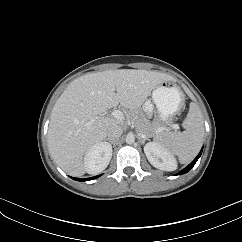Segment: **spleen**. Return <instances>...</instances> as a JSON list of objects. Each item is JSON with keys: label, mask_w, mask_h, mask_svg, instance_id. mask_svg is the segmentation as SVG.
I'll return each mask as SVG.
<instances>
[{"label": "spleen", "mask_w": 242, "mask_h": 242, "mask_svg": "<svg viewBox=\"0 0 242 242\" xmlns=\"http://www.w3.org/2000/svg\"><path fill=\"white\" fill-rule=\"evenodd\" d=\"M183 126L185 128L183 132L162 133L156 137L155 142L178 156L180 163L186 164L198 154L204 137L202 116L195 103H190Z\"/></svg>", "instance_id": "1"}]
</instances>
